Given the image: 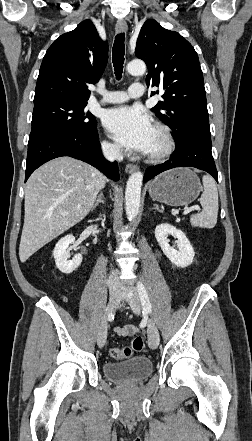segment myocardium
<instances>
[{
	"mask_svg": "<svg viewBox=\"0 0 252 441\" xmlns=\"http://www.w3.org/2000/svg\"><path fill=\"white\" fill-rule=\"evenodd\" d=\"M155 131L160 135L163 146L157 152L147 153L146 157L150 161L160 162L172 154L174 150V139L169 127L164 124H156Z\"/></svg>",
	"mask_w": 252,
	"mask_h": 441,
	"instance_id": "1",
	"label": "myocardium"
}]
</instances>
